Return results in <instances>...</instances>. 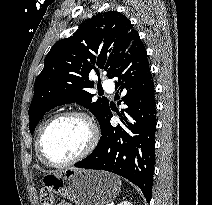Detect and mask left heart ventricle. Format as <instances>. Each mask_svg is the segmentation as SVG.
<instances>
[{
  "mask_svg": "<svg viewBox=\"0 0 212 205\" xmlns=\"http://www.w3.org/2000/svg\"><path fill=\"white\" fill-rule=\"evenodd\" d=\"M89 137V128L82 119L64 118L50 126L43 146L50 159L63 162L78 155L87 145Z\"/></svg>",
  "mask_w": 212,
  "mask_h": 205,
  "instance_id": "left-heart-ventricle-1",
  "label": "left heart ventricle"
}]
</instances>
